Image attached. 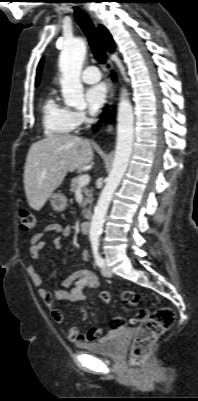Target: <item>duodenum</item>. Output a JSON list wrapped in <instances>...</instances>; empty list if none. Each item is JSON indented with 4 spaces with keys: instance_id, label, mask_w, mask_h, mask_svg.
Wrapping results in <instances>:
<instances>
[{
    "instance_id": "1",
    "label": "duodenum",
    "mask_w": 198,
    "mask_h": 401,
    "mask_svg": "<svg viewBox=\"0 0 198 401\" xmlns=\"http://www.w3.org/2000/svg\"><path fill=\"white\" fill-rule=\"evenodd\" d=\"M90 229V221L89 220H85L81 223L80 225V230L82 233H88Z\"/></svg>"
}]
</instances>
